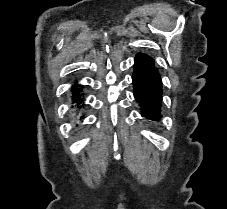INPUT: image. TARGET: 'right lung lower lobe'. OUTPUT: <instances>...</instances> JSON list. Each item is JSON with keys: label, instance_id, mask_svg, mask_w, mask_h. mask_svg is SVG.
Masks as SVG:
<instances>
[{"label": "right lung lower lobe", "instance_id": "obj_1", "mask_svg": "<svg viewBox=\"0 0 227 209\" xmlns=\"http://www.w3.org/2000/svg\"><path fill=\"white\" fill-rule=\"evenodd\" d=\"M72 92H73V97H72L73 101L77 103V107H81L79 106V104L83 101V99L81 98V95L83 94H80V92L77 91V89H73Z\"/></svg>", "mask_w": 227, "mask_h": 209}]
</instances>
